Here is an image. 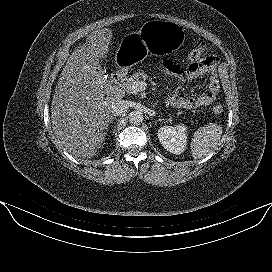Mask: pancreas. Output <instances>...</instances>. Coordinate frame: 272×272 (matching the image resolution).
Here are the masks:
<instances>
[{
	"instance_id": "pancreas-1",
	"label": "pancreas",
	"mask_w": 272,
	"mask_h": 272,
	"mask_svg": "<svg viewBox=\"0 0 272 272\" xmlns=\"http://www.w3.org/2000/svg\"><path fill=\"white\" fill-rule=\"evenodd\" d=\"M147 78L148 75L145 72H135L126 82L127 83L140 82L141 80L143 81L147 80ZM134 94H137V92H135Z\"/></svg>"
}]
</instances>
